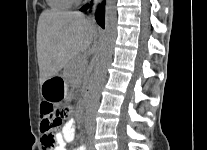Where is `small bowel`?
I'll use <instances>...</instances> for the list:
<instances>
[{"label":"small bowel","instance_id":"c3829d8e","mask_svg":"<svg viewBox=\"0 0 207 150\" xmlns=\"http://www.w3.org/2000/svg\"><path fill=\"white\" fill-rule=\"evenodd\" d=\"M75 135L76 123L73 119H71L62 127L61 131L54 136V150H67L66 146L74 141ZM76 150H88V145H78V149Z\"/></svg>","mask_w":207,"mask_h":150}]
</instances>
